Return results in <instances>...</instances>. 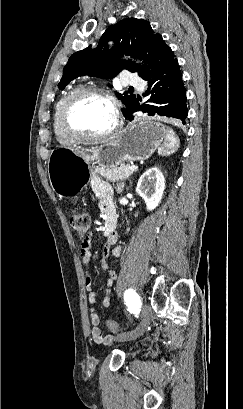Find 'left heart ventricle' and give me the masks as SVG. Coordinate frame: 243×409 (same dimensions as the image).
Instances as JSON below:
<instances>
[{
	"label": "left heart ventricle",
	"instance_id": "obj_1",
	"mask_svg": "<svg viewBox=\"0 0 243 409\" xmlns=\"http://www.w3.org/2000/svg\"><path fill=\"white\" fill-rule=\"evenodd\" d=\"M110 106L103 100L88 97L80 100L74 107L72 123L87 135H97L109 130L113 125Z\"/></svg>",
	"mask_w": 243,
	"mask_h": 409
}]
</instances>
